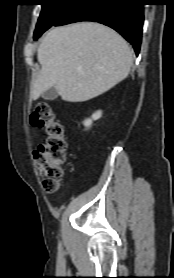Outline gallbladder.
I'll return each mask as SVG.
<instances>
[{"label":"gallbladder","instance_id":"gallbladder-1","mask_svg":"<svg viewBox=\"0 0 174 278\" xmlns=\"http://www.w3.org/2000/svg\"><path fill=\"white\" fill-rule=\"evenodd\" d=\"M58 97V93L55 87H52L42 94V98L45 100H55Z\"/></svg>","mask_w":174,"mask_h":278}]
</instances>
